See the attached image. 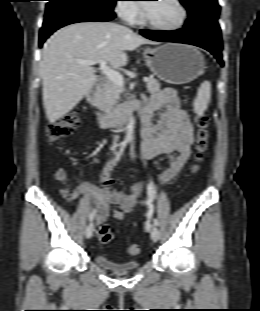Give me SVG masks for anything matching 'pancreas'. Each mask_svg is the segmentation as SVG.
Returning <instances> with one entry per match:
<instances>
[{"instance_id":"1","label":"pancreas","mask_w":260,"mask_h":311,"mask_svg":"<svg viewBox=\"0 0 260 311\" xmlns=\"http://www.w3.org/2000/svg\"><path fill=\"white\" fill-rule=\"evenodd\" d=\"M147 90L149 93L153 94L160 91V83L153 77L149 78L147 82ZM123 87L116 85L110 79H108L102 86V89L98 95L97 106L98 108L105 112L111 113L120 99V95L123 93Z\"/></svg>"}]
</instances>
